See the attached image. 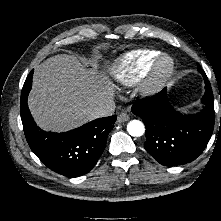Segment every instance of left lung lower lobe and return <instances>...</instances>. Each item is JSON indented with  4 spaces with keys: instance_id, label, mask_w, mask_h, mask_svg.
I'll return each instance as SVG.
<instances>
[{
    "instance_id": "1",
    "label": "left lung lower lobe",
    "mask_w": 221,
    "mask_h": 221,
    "mask_svg": "<svg viewBox=\"0 0 221 221\" xmlns=\"http://www.w3.org/2000/svg\"><path fill=\"white\" fill-rule=\"evenodd\" d=\"M198 71L206 84L201 99L205 107L200 113L182 115L174 110L167 100L166 89L132 107V112L141 117L146 126L144 148L162 165L176 166L195 160L211 138L214 98L205 72Z\"/></svg>"
}]
</instances>
